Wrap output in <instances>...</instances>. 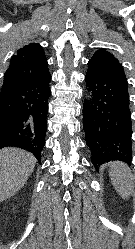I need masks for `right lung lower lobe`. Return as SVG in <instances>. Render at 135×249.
I'll list each match as a JSON object with an SVG mask.
<instances>
[{
  "label": "right lung lower lobe",
  "mask_w": 135,
  "mask_h": 249,
  "mask_svg": "<svg viewBox=\"0 0 135 249\" xmlns=\"http://www.w3.org/2000/svg\"><path fill=\"white\" fill-rule=\"evenodd\" d=\"M50 74L19 83L3 84L0 90V149L19 147L40 162L47 130Z\"/></svg>",
  "instance_id": "obj_1"
}]
</instances>
